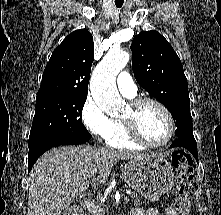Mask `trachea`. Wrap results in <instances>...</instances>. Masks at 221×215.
Returning <instances> with one entry per match:
<instances>
[{
    "instance_id": "obj_1",
    "label": "trachea",
    "mask_w": 221,
    "mask_h": 215,
    "mask_svg": "<svg viewBox=\"0 0 221 215\" xmlns=\"http://www.w3.org/2000/svg\"><path fill=\"white\" fill-rule=\"evenodd\" d=\"M122 3H116V6L118 7V8H120V7H122Z\"/></svg>"
}]
</instances>
